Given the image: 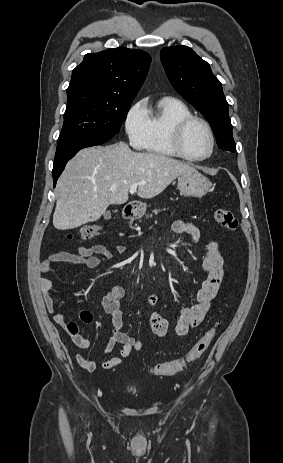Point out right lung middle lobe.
<instances>
[{
    "label": "right lung middle lobe",
    "mask_w": 283,
    "mask_h": 463,
    "mask_svg": "<svg viewBox=\"0 0 283 463\" xmlns=\"http://www.w3.org/2000/svg\"><path fill=\"white\" fill-rule=\"evenodd\" d=\"M132 101L87 92L69 94L57 145L85 138H112L126 120Z\"/></svg>",
    "instance_id": "1"
}]
</instances>
